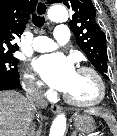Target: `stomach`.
Here are the masks:
<instances>
[{
	"instance_id": "1",
	"label": "stomach",
	"mask_w": 117,
	"mask_h": 136,
	"mask_svg": "<svg viewBox=\"0 0 117 136\" xmlns=\"http://www.w3.org/2000/svg\"><path fill=\"white\" fill-rule=\"evenodd\" d=\"M74 126L81 133H91L95 130V122L89 115H75Z\"/></svg>"
}]
</instances>
